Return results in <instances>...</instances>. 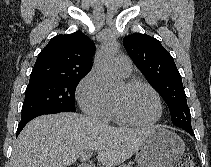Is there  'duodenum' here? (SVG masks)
<instances>
[{"instance_id": "410a0bca", "label": "duodenum", "mask_w": 211, "mask_h": 167, "mask_svg": "<svg viewBox=\"0 0 211 167\" xmlns=\"http://www.w3.org/2000/svg\"><path fill=\"white\" fill-rule=\"evenodd\" d=\"M78 167H89L88 165H80Z\"/></svg>"}]
</instances>
